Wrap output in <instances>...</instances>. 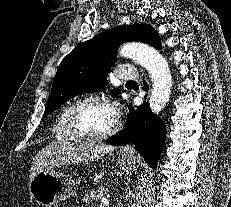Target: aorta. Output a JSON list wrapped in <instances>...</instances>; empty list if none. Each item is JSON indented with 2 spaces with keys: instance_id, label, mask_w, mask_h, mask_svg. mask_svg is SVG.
Instances as JSON below:
<instances>
[{
  "instance_id": "762f6f07",
  "label": "aorta",
  "mask_w": 231,
  "mask_h": 207,
  "mask_svg": "<svg viewBox=\"0 0 231 207\" xmlns=\"http://www.w3.org/2000/svg\"><path fill=\"white\" fill-rule=\"evenodd\" d=\"M119 54L131 58L149 71L153 85L149 105L154 114H159L169 101L172 77L165 58L154 48L141 43L123 45Z\"/></svg>"
}]
</instances>
